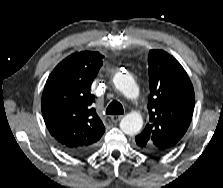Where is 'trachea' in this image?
I'll return each instance as SVG.
<instances>
[{
	"mask_svg": "<svg viewBox=\"0 0 223 188\" xmlns=\"http://www.w3.org/2000/svg\"><path fill=\"white\" fill-rule=\"evenodd\" d=\"M106 113L109 115H121L124 113V109L120 102L112 101L107 107Z\"/></svg>",
	"mask_w": 223,
	"mask_h": 188,
	"instance_id": "1",
	"label": "trachea"
}]
</instances>
